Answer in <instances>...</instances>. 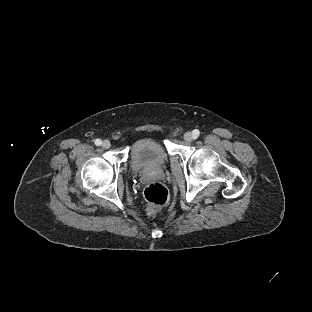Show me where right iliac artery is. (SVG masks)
<instances>
[{"label": "right iliac artery", "mask_w": 312, "mask_h": 312, "mask_svg": "<svg viewBox=\"0 0 312 312\" xmlns=\"http://www.w3.org/2000/svg\"><path fill=\"white\" fill-rule=\"evenodd\" d=\"M102 143V141L100 139H96L95 140V145L100 146Z\"/></svg>", "instance_id": "1"}]
</instances>
